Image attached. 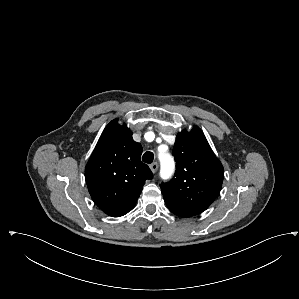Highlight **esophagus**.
Returning a JSON list of instances; mask_svg holds the SVG:
<instances>
[{
	"instance_id": "obj_1",
	"label": "esophagus",
	"mask_w": 299,
	"mask_h": 299,
	"mask_svg": "<svg viewBox=\"0 0 299 299\" xmlns=\"http://www.w3.org/2000/svg\"><path fill=\"white\" fill-rule=\"evenodd\" d=\"M158 163L157 162H154V163H152L151 165H150V169H151V171L153 172V173H156L157 172V170H158Z\"/></svg>"
}]
</instances>
